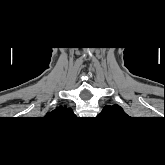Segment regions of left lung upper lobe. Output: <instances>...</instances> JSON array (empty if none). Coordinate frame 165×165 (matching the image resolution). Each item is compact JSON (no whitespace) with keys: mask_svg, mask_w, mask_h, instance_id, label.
<instances>
[{"mask_svg":"<svg viewBox=\"0 0 165 165\" xmlns=\"http://www.w3.org/2000/svg\"><path fill=\"white\" fill-rule=\"evenodd\" d=\"M102 115H113V117L117 116V117H123L125 116V112L123 111V109L118 106L117 104H114L112 106H105L104 109L101 112Z\"/></svg>","mask_w":165,"mask_h":165,"instance_id":"5c2ea615","label":"left lung upper lobe"}]
</instances>
